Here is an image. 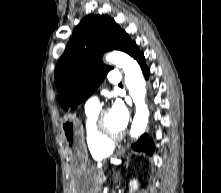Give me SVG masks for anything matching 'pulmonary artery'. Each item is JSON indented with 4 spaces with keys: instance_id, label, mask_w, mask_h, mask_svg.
Returning <instances> with one entry per match:
<instances>
[{
    "instance_id": "pulmonary-artery-1",
    "label": "pulmonary artery",
    "mask_w": 221,
    "mask_h": 193,
    "mask_svg": "<svg viewBox=\"0 0 221 193\" xmlns=\"http://www.w3.org/2000/svg\"><path fill=\"white\" fill-rule=\"evenodd\" d=\"M108 80L110 84L117 86L121 82V74L118 70H112L108 74ZM100 109V102L96 95L89 98L85 103V110L86 112H94L99 111Z\"/></svg>"
}]
</instances>
